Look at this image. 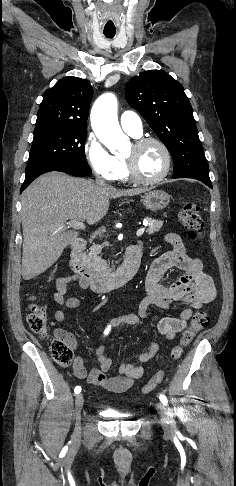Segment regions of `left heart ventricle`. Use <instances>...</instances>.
<instances>
[{"label":"left heart ventricle","instance_id":"1","mask_svg":"<svg viewBox=\"0 0 236 486\" xmlns=\"http://www.w3.org/2000/svg\"><path fill=\"white\" fill-rule=\"evenodd\" d=\"M125 157L134 160L139 175L145 179L159 176L164 169L163 152L158 145L153 143L138 149L131 145Z\"/></svg>","mask_w":236,"mask_h":486}]
</instances>
